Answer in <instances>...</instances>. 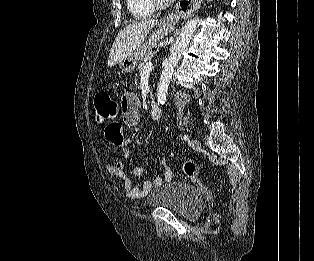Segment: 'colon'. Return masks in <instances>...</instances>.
Returning a JSON list of instances; mask_svg holds the SVG:
<instances>
[{"label": "colon", "instance_id": "1", "mask_svg": "<svg viewBox=\"0 0 314 261\" xmlns=\"http://www.w3.org/2000/svg\"><path fill=\"white\" fill-rule=\"evenodd\" d=\"M94 107L97 124L104 126V124H107V120H118L117 104L107 92L100 91L95 95ZM197 171L198 167L194 162H186L183 166V172L188 178L195 179Z\"/></svg>", "mask_w": 314, "mask_h": 261}]
</instances>
